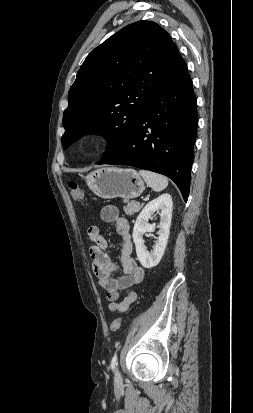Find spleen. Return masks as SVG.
I'll use <instances>...</instances> for the list:
<instances>
[{"mask_svg":"<svg viewBox=\"0 0 253 413\" xmlns=\"http://www.w3.org/2000/svg\"><path fill=\"white\" fill-rule=\"evenodd\" d=\"M139 174L143 177L146 184L155 192H160L168 186L167 178L161 174L147 170H140Z\"/></svg>","mask_w":253,"mask_h":413,"instance_id":"3e777b00","label":"spleen"}]
</instances>
